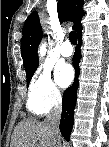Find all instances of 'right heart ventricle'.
<instances>
[{
	"label": "right heart ventricle",
	"instance_id": "e07e8e85",
	"mask_svg": "<svg viewBox=\"0 0 109 147\" xmlns=\"http://www.w3.org/2000/svg\"><path fill=\"white\" fill-rule=\"evenodd\" d=\"M29 109L35 113V114H41L40 110L37 108V106L31 102H28Z\"/></svg>",
	"mask_w": 109,
	"mask_h": 147
}]
</instances>
